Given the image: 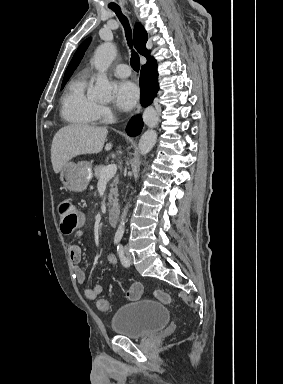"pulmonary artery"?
I'll return each instance as SVG.
<instances>
[{"mask_svg":"<svg viewBox=\"0 0 283 384\" xmlns=\"http://www.w3.org/2000/svg\"><path fill=\"white\" fill-rule=\"evenodd\" d=\"M112 71L115 76L117 77H128L131 73L130 68L127 65L124 64H116L113 68Z\"/></svg>","mask_w":283,"mask_h":384,"instance_id":"1","label":"pulmonary artery"}]
</instances>
